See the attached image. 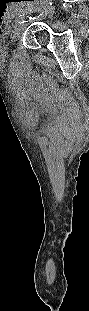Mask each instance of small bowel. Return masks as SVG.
<instances>
[{
    "label": "small bowel",
    "instance_id": "obj_1",
    "mask_svg": "<svg viewBox=\"0 0 89 311\" xmlns=\"http://www.w3.org/2000/svg\"><path fill=\"white\" fill-rule=\"evenodd\" d=\"M15 15H16V13H12V17L15 16Z\"/></svg>",
    "mask_w": 89,
    "mask_h": 311
}]
</instances>
